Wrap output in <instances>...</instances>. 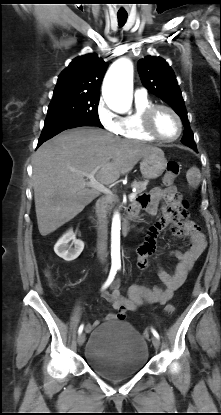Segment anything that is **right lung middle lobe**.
<instances>
[{"label":"right lung middle lobe","mask_w":221,"mask_h":415,"mask_svg":"<svg viewBox=\"0 0 221 415\" xmlns=\"http://www.w3.org/2000/svg\"><path fill=\"white\" fill-rule=\"evenodd\" d=\"M99 98L100 95L87 93L53 94L47 118L83 119L98 127H103L98 117Z\"/></svg>","instance_id":"obj_1"}]
</instances>
